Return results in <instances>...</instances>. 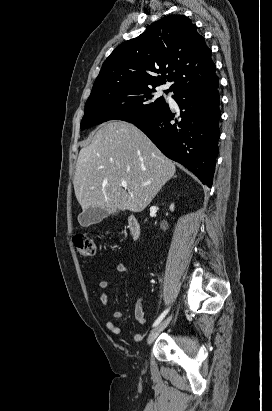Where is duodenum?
Listing matches in <instances>:
<instances>
[{
	"label": "duodenum",
	"mask_w": 272,
	"mask_h": 411,
	"mask_svg": "<svg viewBox=\"0 0 272 411\" xmlns=\"http://www.w3.org/2000/svg\"><path fill=\"white\" fill-rule=\"evenodd\" d=\"M129 233L133 238H139L141 235V225L139 220L135 216H131L128 219Z\"/></svg>",
	"instance_id": "1"
}]
</instances>
